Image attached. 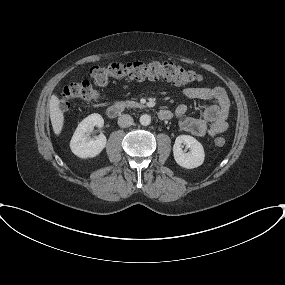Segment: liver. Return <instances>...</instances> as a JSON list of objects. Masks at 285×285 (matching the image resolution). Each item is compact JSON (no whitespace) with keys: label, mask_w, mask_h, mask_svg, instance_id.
<instances>
[{"label":"liver","mask_w":285,"mask_h":285,"mask_svg":"<svg viewBox=\"0 0 285 285\" xmlns=\"http://www.w3.org/2000/svg\"><path fill=\"white\" fill-rule=\"evenodd\" d=\"M49 113L53 131L55 135L59 136L64 125V114L60 109V99L55 94L49 100Z\"/></svg>","instance_id":"obj_1"}]
</instances>
